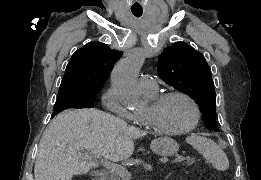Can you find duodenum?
<instances>
[{
  "mask_svg": "<svg viewBox=\"0 0 261 180\" xmlns=\"http://www.w3.org/2000/svg\"><path fill=\"white\" fill-rule=\"evenodd\" d=\"M91 180H102L101 177H92Z\"/></svg>",
  "mask_w": 261,
  "mask_h": 180,
  "instance_id": "duodenum-1",
  "label": "duodenum"
}]
</instances>
